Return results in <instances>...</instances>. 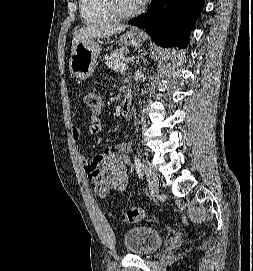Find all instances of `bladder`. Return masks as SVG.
<instances>
[{"mask_svg":"<svg viewBox=\"0 0 253 271\" xmlns=\"http://www.w3.org/2000/svg\"><path fill=\"white\" fill-rule=\"evenodd\" d=\"M164 242L161 232L146 225H138L123 235L125 250L134 256H149L157 251Z\"/></svg>","mask_w":253,"mask_h":271,"instance_id":"31cf9c89","label":"bladder"}]
</instances>
